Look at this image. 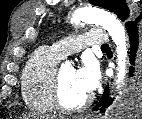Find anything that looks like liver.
<instances>
[{"label":"liver","instance_id":"1","mask_svg":"<svg viewBox=\"0 0 142 119\" xmlns=\"http://www.w3.org/2000/svg\"><path fill=\"white\" fill-rule=\"evenodd\" d=\"M33 117V119H45V116H32ZM23 118L24 119H29L30 118V115H23ZM53 119V118H55L54 116H51V117H49V116H46V119Z\"/></svg>","mask_w":142,"mask_h":119}]
</instances>
